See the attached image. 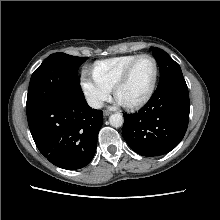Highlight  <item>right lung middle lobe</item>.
I'll return each instance as SVG.
<instances>
[{
  "instance_id": "right-lung-middle-lobe-1",
  "label": "right lung middle lobe",
  "mask_w": 220,
  "mask_h": 220,
  "mask_svg": "<svg viewBox=\"0 0 220 220\" xmlns=\"http://www.w3.org/2000/svg\"><path fill=\"white\" fill-rule=\"evenodd\" d=\"M87 59L88 57H76L65 53L51 54L32 74L26 106L44 101L83 99L77 72L79 66Z\"/></svg>"
}]
</instances>
